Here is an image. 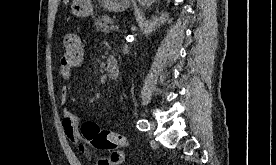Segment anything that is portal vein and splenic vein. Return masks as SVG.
Returning a JSON list of instances; mask_svg holds the SVG:
<instances>
[{"label":"portal vein and splenic vein","instance_id":"18ae733b","mask_svg":"<svg viewBox=\"0 0 276 165\" xmlns=\"http://www.w3.org/2000/svg\"><path fill=\"white\" fill-rule=\"evenodd\" d=\"M117 29H118V27H117L116 25H113V24H112V25L110 26V30H117Z\"/></svg>","mask_w":276,"mask_h":165}]
</instances>
